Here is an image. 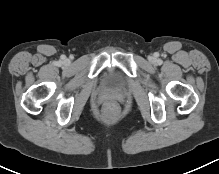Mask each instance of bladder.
I'll return each mask as SVG.
<instances>
[{
    "label": "bladder",
    "mask_w": 219,
    "mask_h": 174,
    "mask_svg": "<svg viewBox=\"0 0 219 174\" xmlns=\"http://www.w3.org/2000/svg\"><path fill=\"white\" fill-rule=\"evenodd\" d=\"M104 82L108 87L111 88H121L125 84L124 76L115 69L109 70L105 77Z\"/></svg>",
    "instance_id": "obj_1"
}]
</instances>
